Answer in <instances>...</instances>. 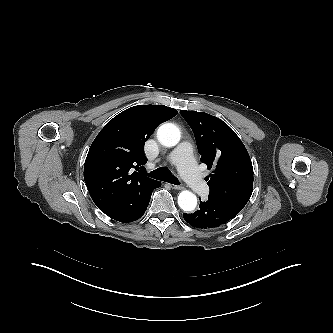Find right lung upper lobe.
I'll use <instances>...</instances> for the list:
<instances>
[{"label":"right lung upper lobe","instance_id":"right-lung-upper-lobe-1","mask_svg":"<svg viewBox=\"0 0 333 333\" xmlns=\"http://www.w3.org/2000/svg\"><path fill=\"white\" fill-rule=\"evenodd\" d=\"M177 113L164 105H138L115 116L99 132L85 160L84 179L102 211L123 204L156 181L137 172L147 162L144 144L159 124Z\"/></svg>","mask_w":333,"mask_h":333}]
</instances>
